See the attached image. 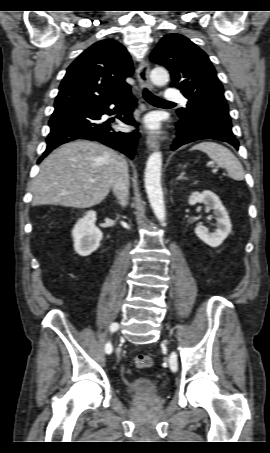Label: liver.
Listing matches in <instances>:
<instances>
[{
  "label": "liver",
  "instance_id": "6515ba94",
  "mask_svg": "<svg viewBox=\"0 0 270 453\" xmlns=\"http://www.w3.org/2000/svg\"><path fill=\"white\" fill-rule=\"evenodd\" d=\"M118 158L97 142L77 140L61 146L40 165L32 184V205L89 208L101 203L112 188Z\"/></svg>",
  "mask_w": 270,
  "mask_h": 453
}]
</instances>
